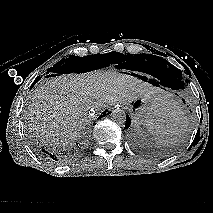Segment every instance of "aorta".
Returning <instances> with one entry per match:
<instances>
[{
  "instance_id": "aorta-1",
  "label": "aorta",
  "mask_w": 213,
  "mask_h": 213,
  "mask_svg": "<svg viewBox=\"0 0 213 213\" xmlns=\"http://www.w3.org/2000/svg\"><path fill=\"white\" fill-rule=\"evenodd\" d=\"M111 119L119 125H124L126 122V113L122 109H115L111 113Z\"/></svg>"
}]
</instances>
